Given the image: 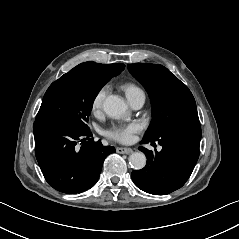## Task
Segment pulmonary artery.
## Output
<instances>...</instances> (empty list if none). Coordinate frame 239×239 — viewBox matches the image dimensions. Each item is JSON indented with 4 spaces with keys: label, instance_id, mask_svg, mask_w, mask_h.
<instances>
[{
    "label": "pulmonary artery",
    "instance_id": "e3ab8cb5",
    "mask_svg": "<svg viewBox=\"0 0 239 239\" xmlns=\"http://www.w3.org/2000/svg\"><path fill=\"white\" fill-rule=\"evenodd\" d=\"M127 98L130 103V105L133 108H140L143 106L146 95L142 89H136L132 92L127 93Z\"/></svg>",
    "mask_w": 239,
    "mask_h": 239
}]
</instances>
